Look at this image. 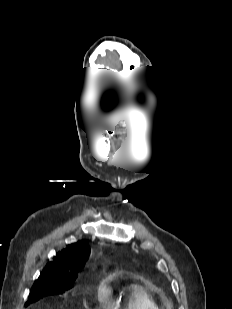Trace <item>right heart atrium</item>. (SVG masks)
Instances as JSON below:
<instances>
[{"label":"right heart atrium","mask_w":232,"mask_h":309,"mask_svg":"<svg viewBox=\"0 0 232 309\" xmlns=\"http://www.w3.org/2000/svg\"><path fill=\"white\" fill-rule=\"evenodd\" d=\"M99 293H100V295H104L105 291H104L103 289H101V290L99 291Z\"/></svg>","instance_id":"1"}]
</instances>
